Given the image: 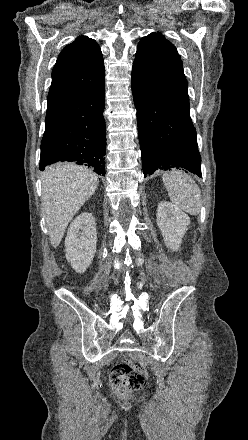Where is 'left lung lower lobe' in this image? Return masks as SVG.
Listing matches in <instances>:
<instances>
[{"instance_id": "left-lung-lower-lobe-1", "label": "left lung lower lobe", "mask_w": 248, "mask_h": 440, "mask_svg": "<svg viewBox=\"0 0 248 440\" xmlns=\"http://www.w3.org/2000/svg\"><path fill=\"white\" fill-rule=\"evenodd\" d=\"M132 92L145 175L184 168L201 177V157L190 110L132 72Z\"/></svg>"}]
</instances>
